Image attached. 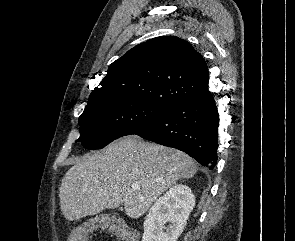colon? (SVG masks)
I'll list each match as a JSON object with an SVG mask.
<instances>
[{"instance_id":"5ec220e1","label":"colon","mask_w":295,"mask_h":241,"mask_svg":"<svg viewBox=\"0 0 295 241\" xmlns=\"http://www.w3.org/2000/svg\"><path fill=\"white\" fill-rule=\"evenodd\" d=\"M93 227H106L121 241H137L130 227L121 218L113 216L99 217L82 228L71 231L68 241H87Z\"/></svg>"}]
</instances>
